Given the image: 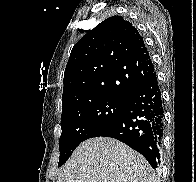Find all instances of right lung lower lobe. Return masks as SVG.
<instances>
[{"label":"right lung lower lobe","instance_id":"right-lung-lower-lobe-1","mask_svg":"<svg viewBox=\"0 0 196 182\" xmlns=\"http://www.w3.org/2000/svg\"><path fill=\"white\" fill-rule=\"evenodd\" d=\"M163 130L164 110L154 71L132 94L126 108L90 138L118 139L142 154L155 169L160 163Z\"/></svg>","mask_w":196,"mask_h":182}]
</instances>
